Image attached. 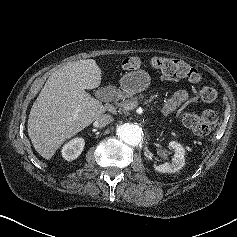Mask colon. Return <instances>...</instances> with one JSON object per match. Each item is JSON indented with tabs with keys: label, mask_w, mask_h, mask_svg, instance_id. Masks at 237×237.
<instances>
[{
	"label": "colon",
	"mask_w": 237,
	"mask_h": 237,
	"mask_svg": "<svg viewBox=\"0 0 237 237\" xmlns=\"http://www.w3.org/2000/svg\"><path fill=\"white\" fill-rule=\"evenodd\" d=\"M149 64L170 77L185 78L194 84L205 81L203 74L181 60L152 57ZM122 65L126 70H138L143 66V62L137 57H129L123 61ZM199 97L202 101L211 103L217 98V91L212 86L204 85L199 90ZM182 120L186 127L192 129L198 135H207L216 125L218 114L215 110L208 109L203 112L201 117L193 113H185Z\"/></svg>",
	"instance_id": "colon-1"
}]
</instances>
